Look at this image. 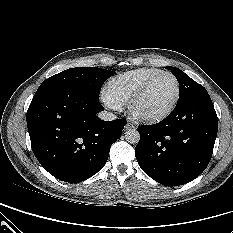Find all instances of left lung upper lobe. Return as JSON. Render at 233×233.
Segmentation results:
<instances>
[{
	"label": "left lung upper lobe",
	"instance_id": "left-lung-upper-lobe-1",
	"mask_svg": "<svg viewBox=\"0 0 233 233\" xmlns=\"http://www.w3.org/2000/svg\"><path fill=\"white\" fill-rule=\"evenodd\" d=\"M166 69L171 70L179 82L180 94L177 103L188 99L189 97L193 96L196 93L206 91V89L202 85L195 82L193 79L187 76L182 70L171 66L166 67Z\"/></svg>",
	"mask_w": 233,
	"mask_h": 233
}]
</instances>
